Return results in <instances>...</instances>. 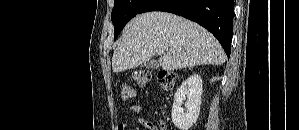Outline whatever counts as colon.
Segmentation results:
<instances>
[{"instance_id":"1","label":"colon","mask_w":299,"mask_h":130,"mask_svg":"<svg viewBox=\"0 0 299 130\" xmlns=\"http://www.w3.org/2000/svg\"><path fill=\"white\" fill-rule=\"evenodd\" d=\"M152 75L148 70H139L133 74V79L139 87H145ZM157 83L165 91L173 90L176 82V74L172 71H160L157 74ZM122 100L129 101L135 96V89L129 84H123L120 88ZM153 130H167L164 124H154Z\"/></svg>"}]
</instances>
